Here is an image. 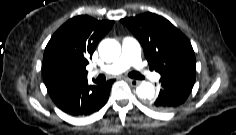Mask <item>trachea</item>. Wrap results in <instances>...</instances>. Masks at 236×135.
Listing matches in <instances>:
<instances>
[{"instance_id": "1", "label": "trachea", "mask_w": 236, "mask_h": 135, "mask_svg": "<svg viewBox=\"0 0 236 135\" xmlns=\"http://www.w3.org/2000/svg\"><path fill=\"white\" fill-rule=\"evenodd\" d=\"M129 77L133 78V79H144V76L141 75L140 73L138 72H130L128 74Z\"/></svg>"}]
</instances>
